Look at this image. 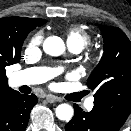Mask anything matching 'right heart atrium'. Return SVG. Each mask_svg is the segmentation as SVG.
<instances>
[{
	"instance_id": "d8ad5b80",
	"label": "right heart atrium",
	"mask_w": 131,
	"mask_h": 131,
	"mask_svg": "<svg viewBox=\"0 0 131 131\" xmlns=\"http://www.w3.org/2000/svg\"><path fill=\"white\" fill-rule=\"evenodd\" d=\"M43 42V34L41 32H37L33 34L27 42L26 49L27 51H35L39 49Z\"/></svg>"
}]
</instances>
